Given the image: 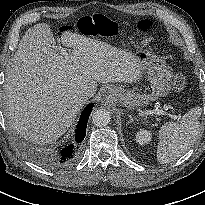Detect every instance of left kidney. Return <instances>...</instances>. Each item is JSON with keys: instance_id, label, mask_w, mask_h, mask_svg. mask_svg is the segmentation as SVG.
Wrapping results in <instances>:
<instances>
[{"instance_id": "5707ae66", "label": "left kidney", "mask_w": 205, "mask_h": 205, "mask_svg": "<svg viewBox=\"0 0 205 205\" xmlns=\"http://www.w3.org/2000/svg\"><path fill=\"white\" fill-rule=\"evenodd\" d=\"M135 137H136V141L140 145H145V144H148L151 141L152 133L150 131L145 130V129H140L136 133Z\"/></svg>"}]
</instances>
